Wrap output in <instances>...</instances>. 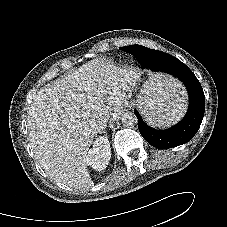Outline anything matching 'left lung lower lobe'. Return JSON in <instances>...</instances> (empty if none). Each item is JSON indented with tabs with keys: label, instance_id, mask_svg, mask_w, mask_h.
Returning a JSON list of instances; mask_svg holds the SVG:
<instances>
[{
	"label": "left lung lower lobe",
	"instance_id": "0a47b994",
	"mask_svg": "<svg viewBox=\"0 0 227 227\" xmlns=\"http://www.w3.org/2000/svg\"><path fill=\"white\" fill-rule=\"evenodd\" d=\"M144 68L166 72L180 79L189 94V109L186 116L175 126L167 130H155L145 124L137 110L138 129L142 137L158 149H168L187 143L198 131L205 111L203 89L194 73L177 58H169L165 53L141 45L128 50Z\"/></svg>",
	"mask_w": 227,
	"mask_h": 227
}]
</instances>
